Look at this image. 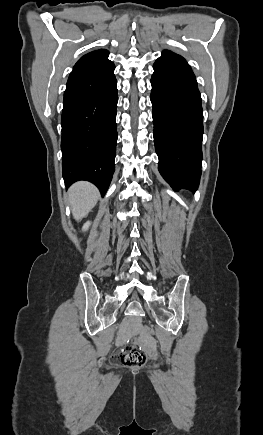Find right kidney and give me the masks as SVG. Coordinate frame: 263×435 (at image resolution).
I'll use <instances>...</instances> for the list:
<instances>
[{
  "instance_id": "obj_1",
  "label": "right kidney",
  "mask_w": 263,
  "mask_h": 435,
  "mask_svg": "<svg viewBox=\"0 0 263 435\" xmlns=\"http://www.w3.org/2000/svg\"><path fill=\"white\" fill-rule=\"evenodd\" d=\"M90 222H86L84 225H83V230L85 231V230H87L88 228H89V226H90Z\"/></svg>"
}]
</instances>
